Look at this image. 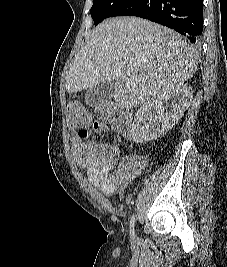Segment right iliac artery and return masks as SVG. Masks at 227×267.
I'll return each instance as SVG.
<instances>
[{"label": "right iliac artery", "instance_id": "obj_1", "mask_svg": "<svg viewBox=\"0 0 227 267\" xmlns=\"http://www.w3.org/2000/svg\"><path fill=\"white\" fill-rule=\"evenodd\" d=\"M134 224H135V216L132 215L131 220H130V235H131V237H134V235H135Z\"/></svg>", "mask_w": 227, "mask_h": 267}]
</instances>
